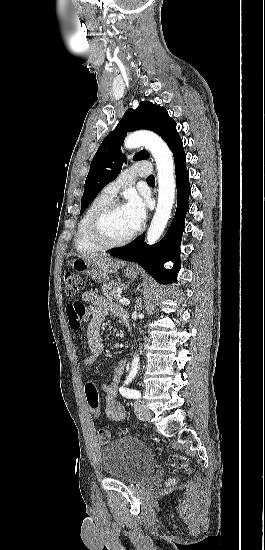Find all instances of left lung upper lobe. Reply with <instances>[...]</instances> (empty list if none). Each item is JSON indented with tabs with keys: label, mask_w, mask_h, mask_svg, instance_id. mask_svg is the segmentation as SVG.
Returning <instances> with one entry per match:
<instances>
[{
	"label": "left lung upper lobe",
	"mask_w": 265,
	"mask_h": 550,
	"mask_svg": "<svg viewBox=\"0 0 265 550\" xmlns=\"http://www.w3.org/2000/svg\"><path fill=\"white\" fill-rule=\"evenodd\" d=\"M139 129H148L161 136L171 151L182 143L176 130V123L164 107L141 101L136 110L128 109L116 128L105 137L92 159L85 181L80 213L88 207L104 186L119 175L123 162H126L121 152L122 141L127 132ZM149 157V153L143 150L135 154L134 160Z\"/></svg>",
	"instance_id": "left-lung-upper-lobe-1"
}]
</instances>
